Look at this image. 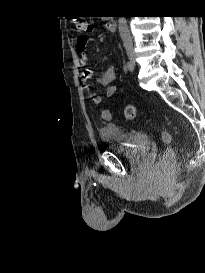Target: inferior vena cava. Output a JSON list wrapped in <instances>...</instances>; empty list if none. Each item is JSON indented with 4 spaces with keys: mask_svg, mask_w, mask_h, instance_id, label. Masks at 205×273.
Segmentation results:
<instances>
[{
    "mask_svg": "<svg viewBox=\"0 0 205 273\" xmlns=\"http://www.w3.org/2000/svg\"><path fill=\"white\" fill-rule=\"evenodd\" d=\"M118 23L120 36L123 40L124 46L132 47V37L130 35L125 17H119Z\"/></svg>",
    "mask_w": 205,
    "mask_h": 273,
    "instance_id": "obj_1",
    "label": "inferior vena cava"
}]
</instances>
